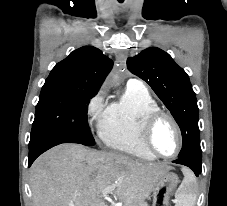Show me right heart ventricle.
Wrapping results in <instances>:
<instances>
[{"mask_svg":"<svg viewBox=\"0 0 227 206\" xmlns=\"http://www.w3.org/2000/svg\"><path fill=\"white\" fill-rule=\"evenodd\" d=\"M159 109L147 90L127 88L120 100L111 103L99 128L103 143L114 150L143 160H154L141 143L140 126L143 118Z\"/></svg>","mask_w":227,"mask_h":206,"instance_id":"e07e8e85","label":"right heart ventricle"}]
</instances>
